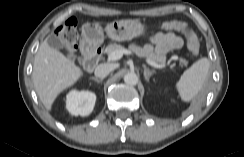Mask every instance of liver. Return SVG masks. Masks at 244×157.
I'll return each instance as SVG.
<instances>
[{
    "label": "liver",
    "mask_w": 244,
    "mask_h": 157,
    "mask_svg": "<svg viewBox=\"0 0 244 157\" xmlns=\"http://www.w3.org/2000/svg\"><path fill=\"white\" fill-rule=\"evenodd\" d=\"M84 73L57 49L50 47L45 39L34 58L32 79L40 101L48 110L57 96L75 84Z\"/></svg>",
    "instance_id": "6515ba94"
}]
</instances>
